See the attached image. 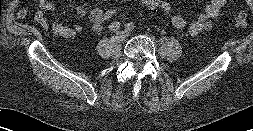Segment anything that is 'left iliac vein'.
Segmentation results:
<instances>
[{"label":"left iliac vein","mask_w":253,"mask_h":131,"mask_svg":"<svg viewBox=\"0 0 253 131\" xmlns=\"http://www.w3.org/2000/svg\"><path fill=\"white\" fill-rule=\"evenodd\" d=\"M125 34H126V36H129V35H130V32L126 31Z\"/></svg>","instance_id":"1"}]
</instances>
